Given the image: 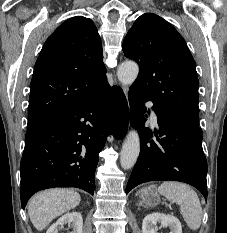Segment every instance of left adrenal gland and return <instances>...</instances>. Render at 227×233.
<instances>
[{"label":"left adrenal gland","mask_w":227,"mask_h":233,"mask_svg":"<svg viewBox=\"0 0 227 233\" xmlns=\"http://www.w3.org/2000/svg\"><path fill=\"white\" fill-rule=\"evenodd\" d=\"M138 206L140 207V206H141V203H140V204H138Z\"/></svg>","instance_id":"obj_1"}]
</instances>
